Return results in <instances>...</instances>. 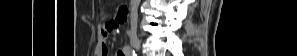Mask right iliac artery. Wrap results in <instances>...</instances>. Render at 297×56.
<instances>
[{
  "label": "right iliac artery",
  "mask_w": 297,
  "mask_h": 56,
  "mask_svg": "<svg viewBox=\"0 0 297 56\" xmlns=\"http://www.w3.org/2000/svg\"><path fill=\"white\" fill-rule=\"evenodd\" d=\"M123 52L127 55V56H135V51L130 47V46H124L123 48Z\"/></svg>",
  "instance_id": "right-iliac-artery-1"
}]
</instances>
